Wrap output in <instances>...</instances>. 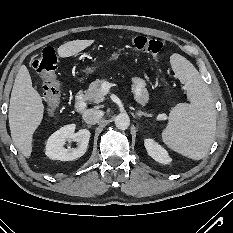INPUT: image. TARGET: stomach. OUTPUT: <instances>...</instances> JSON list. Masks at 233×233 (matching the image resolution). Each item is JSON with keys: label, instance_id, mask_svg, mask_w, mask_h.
<instances>
[{"label": "stomach", "instance_id": "0dacf381", "mask_svg": "<svg viewBox=\"0 0 233 233\" xmlns=\"http://www.w3.org/2000/svg\"><path fill=\"white\" fill-rule=\"evenodd\" d=\"M121 49L117 50V51H113L112 53H110V60H117L119 58V56L121 55ZM97 71V66H88L85 69L86 74L88 75H92Z\"/></svg>", "mask_w": 233, "mask_h": 233}]
</instances>
